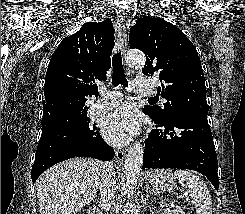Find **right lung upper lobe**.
Wrapping results in <instances>:
<instances>
[{
    "label": "right lung upper lobe",
    "mask_w": 245,
    "mask_h": 214,
    "mask_svg": "<svg viewBox=\"0 0 245 214\" xmlns=\"http://www.w3.org/2000/svg\"><path fill=\"white\" fill-rule=\"evenodd\" d=\"M110 19L85 23L53 53L45 77L42 126L59 127L87 111L85 102L98 96L96 80H105L114 46Z\"/></svg>",
    "instance_id": "cb5924a9"
}]
</instances>
